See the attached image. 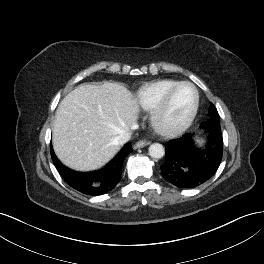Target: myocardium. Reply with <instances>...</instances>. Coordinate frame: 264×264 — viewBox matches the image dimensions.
I'll return each instance as SVG.
<instances>
[{"label": "myocardium", "instance_id": "obj_1", "mask_svg": "<svg viewBox=\"0 0 264 264\" xmlns=\"http://www.w3.org/2000/svg\"><path fill=\"white\" fill-rule=\"evenodd\" d=\"M182 86H189L192 88L194 93V100L191 109L186 118L176 125H167L163 122V116L170 104L173 94ZM200 106V94L196 85L190 81H180L170 87L161 101L151 111L150 124L155 132L165 137H174L185 132L194 122Z\"/></svg>", "mask_w": 264, "mask_h": 264}]
</instances>
